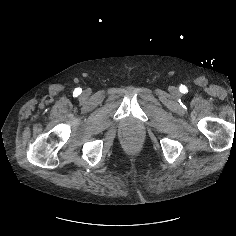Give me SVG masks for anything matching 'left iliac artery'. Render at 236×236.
<instances>
[{"label": "left iliac artery", "mask_w": 236, "mask_h": 236, "mask_svg": "<svg viewBox=\"0 0 236 236\" xmlns=\"http://www.w3.org/2000/svg\"><path fill=\"white\" fill-rule=\"evenodd\" d=\"M184 89H185V87L183 85H181V91L184 90Z\"/></svg>", "instance_id": "obj_1"}]
</instances>
